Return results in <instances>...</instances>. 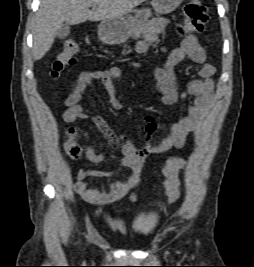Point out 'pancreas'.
<instances>
[{"instance_id": "obj_1", "label": "pancreas", "mask_w": 254, "mask_h": 267, "mask_svg": "<svg viewBox=\"0 0 254 267\" xmlns=\"http://www.w3.org/2000/svg\"><path fill=\"white\" fill-rule=\"evenodd\" d=\"M144 27L140 26L137 30L133 33V38L137 39L140 37L141 33L143 32Z\"/></svg>"}]
</instances>
